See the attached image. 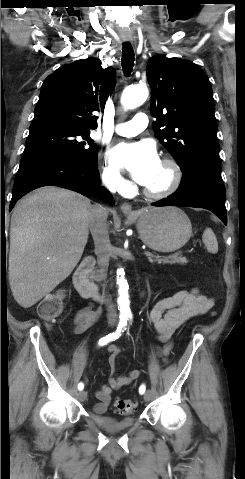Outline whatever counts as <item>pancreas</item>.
I'll return each mask as SVG.
<instances>
[{
	"mask_svg": "<svg viewBox=\"0 0 245 479\" xmlns=\"http://www.w3.org/2000/svg\"><path fill=\"white\" fill-rule=\"evenodd\" d=\"M149 261L151 263H158V264H175V263H178V264H187L188 263V260L185 258V257H178V256H168V257H161V256H152V257H149Z\"/></svg>",
	"mask_w": 245,
	"mask_h": 479,
	"instance_id": "obj_1",
	"label": "pancreas"
}]
</instances>
